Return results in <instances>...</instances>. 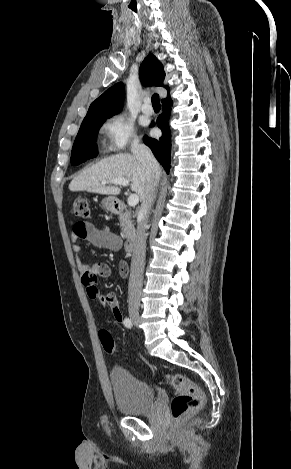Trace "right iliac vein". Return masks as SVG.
I'll use <instances>...</instances> for the list:
<instances>
[{"mask_svg":"<svg viewBox=\"0 0 291 469\" xmlns=\"http://www.w3.org/2000/svg\"><path fill=\"white\" fill-rule=\"evenodd\" d=\"M129 316L134 324L138 325L140 322L139 308L137 306L129 307Z\"/></svg>","mask_w":291,"mask_h":469,"instance_id":"63e3f726","label":"right iliac vein"}]
</instances>
